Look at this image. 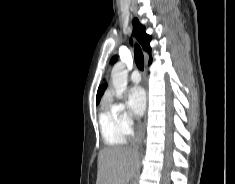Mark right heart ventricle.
<instances>
[{"instance_id":"obj_1","label":"right heart ventricle","mask_w":235,"mask_h":184,"mask_svg":"<svg viewBox=\"0 0 235 184\" xmlns=\"http://www.w3.org/2000/svg\"><path fill=\"white\" fill-rule=\"evenodd\" d=\"M98 121L104 143L108 146L101 154L103 161L114 158L126 144L127 137L121 132L113 107L102 106Z\"/></svg>"}]
</instances>
